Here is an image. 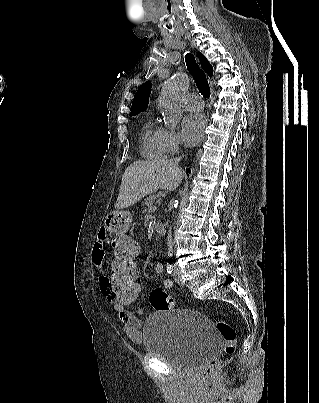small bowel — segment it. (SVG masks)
Instances as JSON below:
<instances>
[{"label": "small bowel", "mask_w": 319, "mask_h": 403, "mask_svg": "<svg viewBox=\"0 0 319 403\" xmlns=\"http://www.w3.org/2000/svg\"><path fill=\"white\" fill-rule=\"evenodd\" d=\"M107 245H108V233L105 229H101L98 232L97 241L94 244L91 258L93 263L99 268L100 272H105L104 275L100 276L99 279V289L104 299L110 304L115 312L119 320L123 323V329L125 334L133 341L140 342L143 338L141 329H140V320L139 316L142 313V309L140 313H129L128 312V304H116V300H113V273L108 271V256L107 254ZM164 269L163 263L158 262L155 265V271L157 273H161ZM139 268H134V273L137 281ZM164 287L171 288L173 283L171 280H165L163 282ZM141 290V288H140ZM137 295H140V291H137Z\"/></svg>", "instance_id": "small-bowel-1"}]
</instances>
